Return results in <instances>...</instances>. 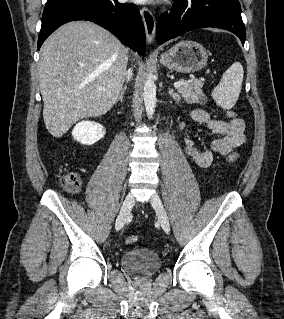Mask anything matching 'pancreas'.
Segmentation results:
<instances>
[{
	"label": "pancreas",
	"mask_w": 284,
	"mask_h": 319,
	"mask_svg": "<svg viewBox=\"0 0 284 319\" xmlns=\"http://www.w3.org/2000/svg\"><path fill=\"white\" fill-rule=\"evenodd\" d=\"M180 81L184 82L185 84L177 89L187 103H199L200 105H205L207 102V97L202 91V81L195 80L189 82L184 79H181Z\"/></svg>",
	"instance_id": "cf45deb5"
}]
</instances>
